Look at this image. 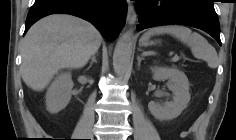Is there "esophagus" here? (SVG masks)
<instances>
[{
	"label": "esophagus",
	"instance_id": "34e87169",
	"mask_svg": "<svg viewBox=\"0 0 236 140\" xmlns=\"http://www.w3.org/2000/svg\"><path fill=\"white\" fill-rule=\"evenodd\" d=\"M126 20H127V23L130 27H134L136 20H137V14H136L135 8L132 4L128 5Z\"/></svg>",
	"mask_w": 236,
	"mask_h": 140
}]
</instances>
